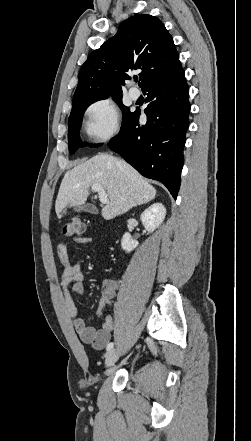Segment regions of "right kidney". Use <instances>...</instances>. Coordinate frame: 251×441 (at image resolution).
<instances>
[{"label":"right kidney","mask_w":251,"mask_h":441,"mask_svg":"<svg viewBox=\"0 0 251 441\" xmlns=\"http://www.w3.org/2000/svg\"><path fill=\"white\" fill-rule=\"evenodd\" d=\"M166 216V208L161 203H154L148 207L140 216L143 226L148 232H153L163 222ZM138 246V241L132 239L131 235L126 232L121 240V247L127 253L131 252Z\"/></svg>","instance_id":"1"}]
</instances>
